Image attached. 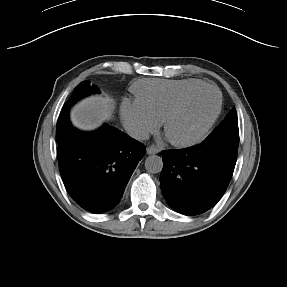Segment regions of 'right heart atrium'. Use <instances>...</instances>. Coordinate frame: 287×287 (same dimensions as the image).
Listing matches in <instances>:
<instances>
[{"label":"right heart atrium","mask_w":287,"mask_h":287,"mask_svg":"<svg viewBox=\"0 0 287 287\" xmlns=\"http://www.w3.org/2000/svg\"><path fill=\"white\" fill-rule=\"evenodd\" d=\"M120 114L126 129L136 138H146L160 127V121L138 100H124Z\"/></svg>","instance_id":"right-heart-atrium-1"}]
</instances>
